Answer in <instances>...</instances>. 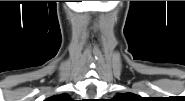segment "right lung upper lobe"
<instances>
[{
    "label": "right lung upper lobe",
    "mask_w": 185,
    "mask_h": 101,
    "mask_svg": "<svg viewBox=\"0 0 185 101\" xmlns=\"http://www.w3.org/2000/svg\"><path fill=\"white\" fill-rule=\"evenodd\" d=\"M49 101H70L71 98L67 94L55 95L48 99Z\"/></svg>",
    "instance_id": "cb5924a9"
}]
</instances>
